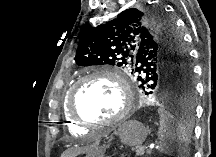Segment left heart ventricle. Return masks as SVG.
I'll list each match as a JSON object with an SVG mask.
<instances>
[{
	"mask_svg": "<svg viewBox=\"0 0 216 157\" xmlns=\"http://www.w3.org/2000/svg\"><path fill=\"white\" fill-rule=\"evenodd\" d=\"M75 107L78 114L88 120L112 119L122 108L121 91L109 79H90L77 91Z\"/></svg>",
	"mask_w": 216,
	"mask_h": 157,
	"instance_id": "left-heart-ventricle-1",
	"label": "left heart ventricle"
}]
</instances>
